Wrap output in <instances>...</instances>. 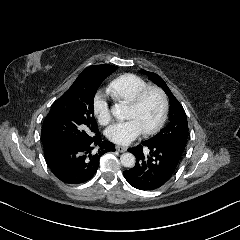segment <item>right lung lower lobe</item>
I'll return each mask as SVG.
<instances>
[{
	"label": "right lung lower lobe",
	"instance_id": "1",
	"mask_svg": "<svg viewBox=\"0 0 240 240\" xmlns=\"http://www.w3.org/2000/svg\"><path fill=\"white\" fill-rule=\"evenodd\" d=\"M46 162L52 173L67 184H80L96 173L100 157L115 146L100 135L86 140H56L43 144ZM95 147L98 149L94 150Z\"/></svg>",
	"mask_w": 240,
	"mask_h": 240
}]
</instances>
